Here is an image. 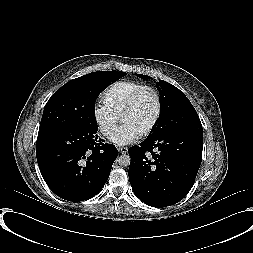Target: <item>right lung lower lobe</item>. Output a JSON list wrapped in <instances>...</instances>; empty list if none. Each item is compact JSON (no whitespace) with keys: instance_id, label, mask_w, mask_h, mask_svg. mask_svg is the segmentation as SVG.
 I'll return each instance as SVG.
<instances>
[{"instance_id":"right-lung-lower-lobe-1","label":"right lung lower lobe","mask_w":253,"mask_h":253,"mask_svg":"<svg viewBox=\"0 0 253 253\" xmlns=\"http://www.w3.org/2000/svg\"><path fill=\"white\" fill-rule=\"evenodd\" d=\"M96 132L77 127L38 136L39 169L57 196L78 202L92 198L104 187L118 151L113 144L96 143Z\"/></svg>"}]
</instances>
